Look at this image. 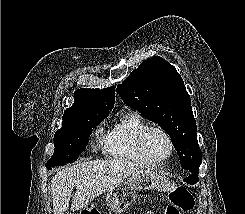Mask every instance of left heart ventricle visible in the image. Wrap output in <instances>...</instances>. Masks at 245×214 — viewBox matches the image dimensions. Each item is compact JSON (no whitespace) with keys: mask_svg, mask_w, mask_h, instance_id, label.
I'll list each match as a JSON object with an SVG mask.
<instances>
[{"mask_svg":"<svg viewBox=\"0 0 245 214\" xmlns=\"http://www.w3.org/2000/svg\"><path fill=\"white\" fill-rule=\"evenodd\" d=\"M145 150L148 157L152 160L164 158L169 150L165 137L159 132H150L145 141Z\"/></svg>","mask_w":245,"mask_h":214,"instance_id":"1","label":"left heart ventricle"}]
</instances>
